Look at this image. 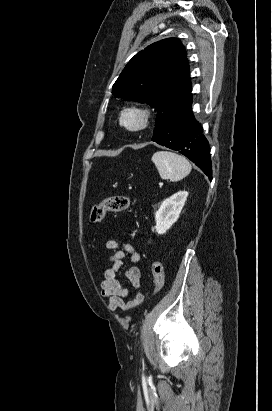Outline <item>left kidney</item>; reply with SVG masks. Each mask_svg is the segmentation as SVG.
Wrapping results in <instances>:
<instances>
[{"mask_svg":"<svg viewBox=\"0 0 272 411\" xmlns=\"http://www.w3.org/2000/svg\"><path fill=\"white\" fill-rule=\"evenodd\" d=\"M188 192L179 191L165 199L155 213L156 226L152 229L164 234L178 220L180 212L187 200Z\"/></svg>","mask_w":272,"mask_h":411,"instance_id":"obj_1","label":"left kidney"}]
</instances>
